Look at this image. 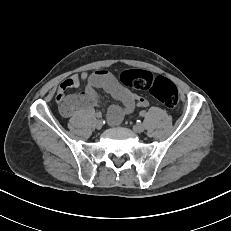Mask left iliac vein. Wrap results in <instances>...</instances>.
Returning <instances> with one entry per match:
<instances>
[{"mask_svg":"<svg viewBox=\"0 0 231 231\" xmlns=\"http://www.w3.org/2000/svg\"><path fill=\"white\" fill-rule=\"evenodd\" d=\"M133 130L136 133H141V132H143L145 130V126L142 123L135 124L133 126Z\"/></svg>","mask_w":231,"mask_h":231,"instance_id":"left-iliac-vein-1","label":"left iliac vein"}]
</instances>
